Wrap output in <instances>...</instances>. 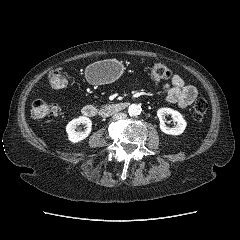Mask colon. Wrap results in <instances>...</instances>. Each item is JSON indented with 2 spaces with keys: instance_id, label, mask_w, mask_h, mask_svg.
<instances>
[{
  "instance_id": "obj_1",
  "label": "colon",
  "mask_w": 240,
  "mask_h": 240,
  "mask_svg": "<svg viewBox=\"0 0 240 240\" xmlns=\"http://www.w3.org/2000/svg\"><path fill=\"white\" fill-rule=\"evenodd\" d=\"M171 71L166 63L157 61L150 68V76L156 81L168 79ZM69 77L63 68H55L49 74L50 86L54 89H61L67 86ZM208 109V103L205 98L199 97L192 111V117L195 121H201ZM61 112V107L46 99H37L32 105V114L36 118H51L57 116Z\"/></svg>"
}]
</instances>
